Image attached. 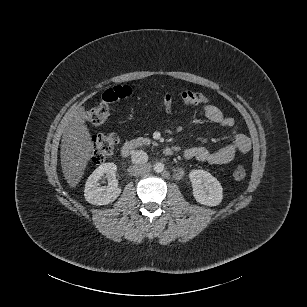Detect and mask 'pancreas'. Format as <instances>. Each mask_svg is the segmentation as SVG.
I'll list each match as a JSON object with an SVG mask.
<instances>
[{"instance_id": "1", "label": "pancreas", "mask_w": 307, "mask_h": 307, "mask_svg": "<svg viewBox=\"0 0 307 307\" xmlns=\"http://www.w3.org/2000/svg\"><path fill=\"white\" fill-rule=\"evenodd\" d=\"M141 141L143 142V144L148 145L151 143V139L149 138H142Z\"/></svg>"}]
</instances>
